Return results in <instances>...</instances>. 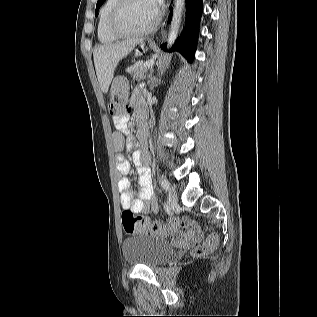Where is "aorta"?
<instances>
[{"mask_svg":"<svg viewBox=\"0 0 317 317\" xmlns=\"http://www.w3.org/2000/svg\"><path fill=\"white\" fill-rule=\"evenodd\" d=\"M185 0H174L173 15L169 27V34L167 39V49L171 48L174 44L182 21V13L184 9Z\"/></svg>","mask_w":317,"mask_h":317,"instance_id":"aorta-1","label":"aorta"}]
</instances>
